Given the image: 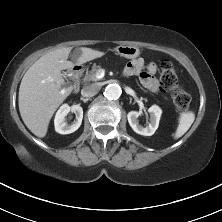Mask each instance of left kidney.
I'll use <instances>...</instances> for the list:
<instances>
[{"label":"left kidney","instance_id":"left-kidney-1","mask_svg":"<svg viewBox=\"0 0 222 222\" xmlns=\"http://www.w3.org/2000/svg\"><path fill=\"white\" fill-rule=\"evenodd\" d=\"M148 112L150 114V123L145 128L139 125L138 117L142 114L140 111H130L127 115L129 125L136 133L140 135L151 136L158 128L159 120L162 114L161 108L157 105H153L148 109Z\"/></svg>","mask_w":222,"mask_h":222}]
</instances>
